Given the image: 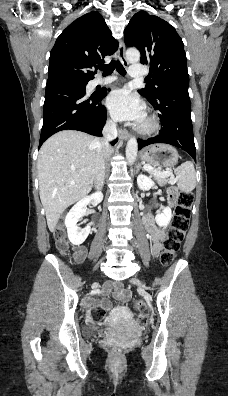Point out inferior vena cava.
Wrapping results in <instances>:
<instances>
[{"mask_svg":"<svg viewBox=\"0 0 228 396\" xmlns=\"http://www.w3.org/2000/svg\"><path fill=\"white\" fill-rule=\"evenodd\" d=\"M103 138H98L97 158L95 165L94 185L101 189L104 185L105 177V158L110 154L111 148L109 142L117 137V126L114 121H107L103 130Z\"/></svg>","mask_w":228,"mask_h":396,"instance_id":"inferior-vena-cava-1","label":"inferior vena cava"}]
</instances>
